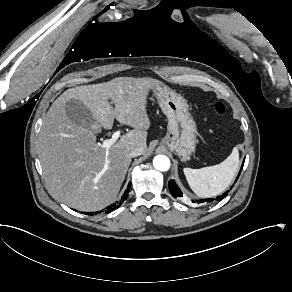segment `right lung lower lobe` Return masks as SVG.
<instances>
[{"mask_svg":"<svg viewBox=\"0 0 292 292\" xmlns=\"http://www.w3.org/2000/svg\"><path fill=\"white\" fill-rule=\"evenodd\" d=\"M130 185H131V183L128 184V188L126 189L125 194L123 195L121 202H123V201L127 198L128 193H129V191H130V190H129ZM118 207H119V204H118V203H114V204H112L111 206L107 207V211H108V212H112L113 210H115V209L118 208ZM87 214H89V215H93V213H87Z\"/></svg>","mask_w":292,"mask_h":292,"instance_id":"obj_1","label":"right lung lower lobe"}]
</instances>
